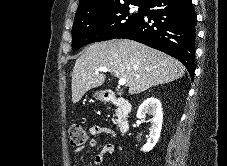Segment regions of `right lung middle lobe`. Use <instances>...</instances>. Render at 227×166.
I'll use <instances>...</instances> for the list:
<instances>
[{"mask_svg": "<svg viewBox=\"0 0 227 166\" xmlns=\"http://www.w3.org/2000/svg\"><path fill=\"white\" fill-rule=\"evenodd\" d=\"M130 4L76 13L72 28V48L78 50L89 43L115 39L143 16L145 6L138 13H130Z\"/></svg>", "mask_w": 227, "mask_h": 166, "instance_id": "right-lung-middle-lobe-1", "label": "right lung middle lobe"}]
</instances>
